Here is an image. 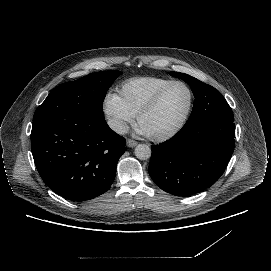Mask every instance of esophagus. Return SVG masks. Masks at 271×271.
I'll use <instances>...</instances> for the list:
<instances>
[{"label": "esophagus", "instance_id": "obj_1", "mask_svg": "<svg viewBox=\"0 0 271 271\" xmlns=\"http://www.w3.org/2000/svg\"><path fill=\"white\" fill-rule=\"evenodd\" d=\"M126 145H127L128 147H130V148H133V147H135V146L137 145V142L134 141V140H131V139H127Z\"/></svg>", "mask_w": 271, "mask_h": 271}]
</instances>
